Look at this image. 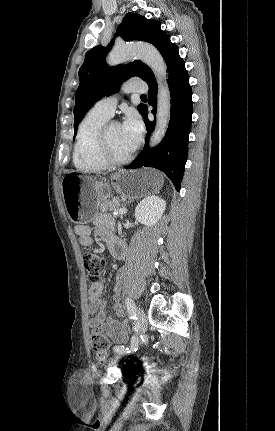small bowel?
Masks as SVG:
<instances>
[{"mask_svg": "<svg viewBox=\"0 0 275 431\" xmlns=\"http://www.w3.org/2000/svg\"><path fill=\"white\" fill-rule=\"evenodd\" d=\"M96 232L101 239L106 243L111 255L121 260L126 256L127 246L123 240L114 236L111 229V224L104 219L96 222ZM75 233L79 236V241L83 246L92 244V229L87 225H78L75 227ZM104 283L99 281L93 283L89 289V306L88 311L91 315L89 326L91 328L101 329L114 344L125 343L128 340L129 328L126 321H120L124 311L121 303L115 300L113 304L114 316L106 315L104 308L106 302L102 298Z\"/></svg>", "mask_w": 275, "mask_h": 431, "instance_id": "c3829d8e", "label": "small bowel"}]
</instances>
